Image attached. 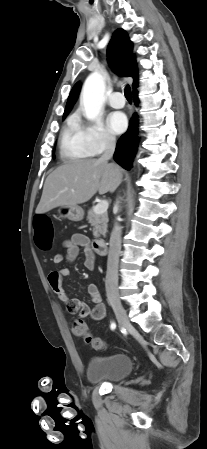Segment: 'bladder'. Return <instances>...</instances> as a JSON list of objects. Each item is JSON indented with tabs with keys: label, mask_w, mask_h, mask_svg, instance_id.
<instances>
[{
	"label": "bladder",
	"mask_w": 207,
	"mask_h": 449,
	"mask_svg": "<svg viewBox=\"0 0 207 449\" xmlns=\"http://www.w3.org/2000/svg\"><path fill=\"white\" fill-rule=\"evenodd\" d=\"M133 368V361L126 354L94 356L88 362L86 377L92 383L119 382L131 374Z\"/></svg>",
	"instance_id": "bladder-1"
}]
</instances>
